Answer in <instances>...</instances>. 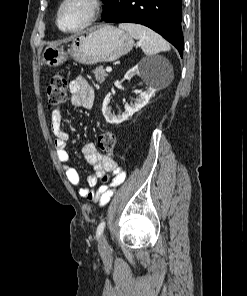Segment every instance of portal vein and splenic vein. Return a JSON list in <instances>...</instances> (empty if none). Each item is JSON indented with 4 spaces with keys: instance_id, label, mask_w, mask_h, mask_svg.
Segmentation results:
<instances>
[{
    "instance_id": "18ae733b",
    "label": "portal vein and splenic vein",
    "mask_w": 247,
    "mask_h": 296,
    "mask_svg": "<svg viewBox=\"0 0 247 296\" xmlns=\"http://www.w3.org/2000/svg\"><path fill=\"white\" fill-rule=\"evenodd\" d=\"M106 71H107V72H111V71H112V67H111V66H107V67H106Z\"/></svg>"
}]
</instances>
